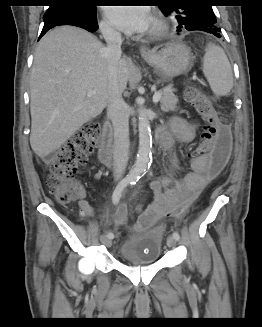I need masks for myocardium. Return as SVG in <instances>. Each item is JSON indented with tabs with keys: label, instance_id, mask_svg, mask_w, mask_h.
I'll use <instances>...</instances> for the list:
<instances>
[{
	"label": "myocardium",
	"instance_id": "1",
	"mask_svg": "<svg viewBox=\"0 0 262 327\" xmlns=\"http://www.w3.org/2000/svg\"><path fill=\"white\" fill-rule=\"evenodd\" d=\"M165 32H166L165 23L159 17H154L152 21V25L147 32V35L150 38H159L163 36Z\"/></svg>",
	"mask_w": 262,
	"mask_h": 327
}]
</instances>
